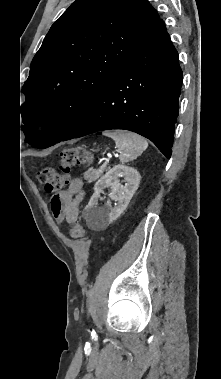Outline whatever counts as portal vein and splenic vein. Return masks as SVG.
Listing matches in <instances>:
<instances>
[{
	"mask_svg": "<svg viewBox=\"0 0 221 379\" xmlns=\"http://www.w3.org/2000/svg\"><path fill=\"white\" fill-rule=\"evenodd\" d=\"M109 157H111L110 155H108V158L105 160V162H104V164H103V166L102 167H104L105 168V166H107V164L109 163Z\"/></svg>",
	"mask_w": 221,
	"mask_h": 379,
	"instance_id": "18ae733b",
	"label": "portal vein and splenic vein"
}]
</instances>
